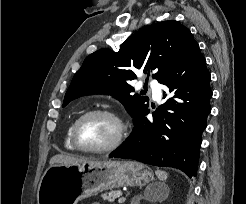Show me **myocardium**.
I'll use <instances>...</instances> for the list:
<instances>
[{"mask_svg":"<svg viewBox=\"0 0 246 204\" xmlns=\"http://www.w3.org/2000/svg\"><path fill=\"white\" fill-rule=\"evenodd\" d=\"M95 115H102V116L111 118L116 123L117 132H116L115 137L109 144L103 147H100V148H85L81 146L78 142V129H79L80 124L86 118L95 116ZM126 132H127L126 125L119 114L109 109L96 108V109L86 111L85 113L80 115L75 120L72 126L71 140H72V143L75 149L81 152L90 153V154H103V153H108V152H111L117 149L123 143L125 136H126Z\"/></svg>","mask_w":246,"mask_h":204,"instance_id":"obj_1","label":"myocardium"}]
</instances>
